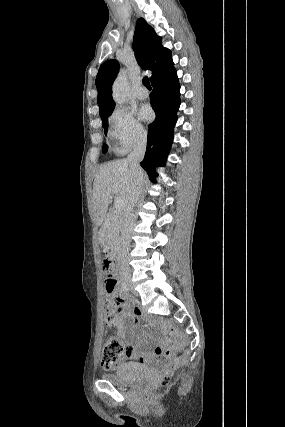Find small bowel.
I'll use <instances>...</instances> for the list:
<instances>
[{"label":"small bowel","instance_id":"obj_1","mask_svg":"<svg viewBox=\"0 0 285 427\" xmlns=\"http://www.w3.org/2000/svg\"><path fill=\"white\" fill-rule=\"evenodd\" d=\"M120 295H123L122 290H119ZM126 307V306H125ZM146 319L145 316L135 313L130 314L126 309L123 310L117 319V328H118V334L121 338H133L134 337V329L137 328L141 321ZM144 343L141 340H137V344L140 345ZM186 345V340L183 338H180L176 341V349L180 350L183 346ZM156 353V349L153 351H140L138 347H135L131 354L125 355L122 357L119 362L123 361L126 358L137 360L140 363L148 364V356L150 354ZM169 369L168 372H171V370L177 368L179 365V357L174 356L171 360L168 361ZM164 373H166V368L163 367Z\"/></svg>","mask_w":285,"mask_h":427}]
</instances>
